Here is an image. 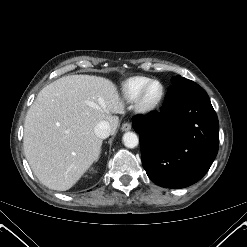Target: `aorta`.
Here are the masks:
<instances>
[{"instance_id": "762f6f07", "label": "aorta", "mask_w": 247, "mask_h": 247, "mask_svg": "<svg viewBox=\"0 0 247 247\" xmlns=\"http://www.w3.org/2000/svg\"><path fill=\"white\" fill-rule=\"evenodd\" d=\"M123 143L127 148H135L139 143L138 136L133 132H126L123 135Z\"/></svg>"}]
</instances>
